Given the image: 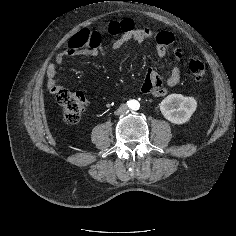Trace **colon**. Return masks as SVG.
<instances>
[{"label": "colon", "instance_id": "1", "mask_svg": "<svg viewBox=\"0 0 236 236\" xmlns=\"http://www.w3.org/2000/svg\"><path fill=\"white\" fill-rule=\"evenodd\" d=\"M191 76L197 80L202 79L206 73L204 63L197 59H192L188 63ZM56 95V100L61 108L62 116L67 123L79 122L83 112L87 107V100L82 93L72 92L60 88Z\"/></svg>", "mask_w": 236, "mask_h": 236}]
</instances>
